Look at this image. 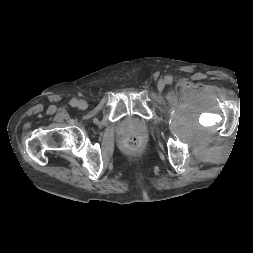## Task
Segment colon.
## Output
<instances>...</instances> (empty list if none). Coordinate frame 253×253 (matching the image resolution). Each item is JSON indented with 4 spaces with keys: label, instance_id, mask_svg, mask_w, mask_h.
<instances>
[{
    "label": "colon",
    "instance_id": "obj_1",
    "mask_svg": "<svg viewBox=\"0 0 253 253\" xmlns=\"http://www.w3.org/2000/svg\"><path fill=\"white\" fill-rule=\"evenodd\" d=\"M124 146L130 152H136L141 146V138L138 135H132L124 140Z\"/></svg>",
    "mask_w": 253,
    "mask_h": 253
}]
</instances>
